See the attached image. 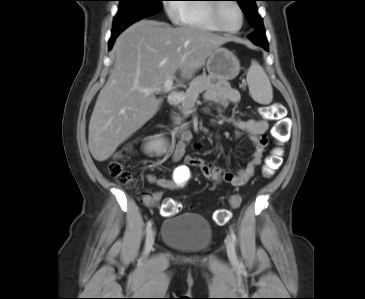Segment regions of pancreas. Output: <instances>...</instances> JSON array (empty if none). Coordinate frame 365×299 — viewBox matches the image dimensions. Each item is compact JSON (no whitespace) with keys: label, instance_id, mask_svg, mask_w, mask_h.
<instances>
[{"label":"pancreas","instance_id":"cf45deb5","mask_svg":"<svg viewBox=\"0 0 365 299\" xmlns=\"http://www.w3.org/2000/svg\"><path fill=\"white\" fill-rule=\"evenodd\" d=\"M213 83V78L207 75H199L192 80L189 85V88L186 90L184 95V100L179 106V109L186 117L189 114V111L193 108L198 96L203 91L207 90ZM176 124H180L183 120L181 117L174 118Z\"/></svg>","mask_w":365,"mask_h":299}]
</instances>
